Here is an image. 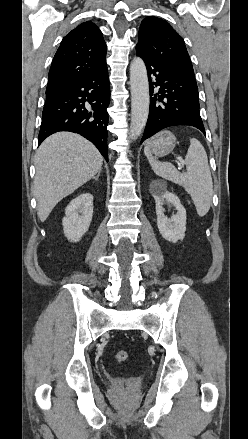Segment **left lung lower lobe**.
<instances>
[{
	"label": "left lung lower lobe",
	"mask_w": 248,
	"mask_h": 439,
	"mask_svg": "<svg viewBox=\"0 0 248 439\" xmlns=\"http://www.w3.org/2000/svg\"><path fill=\"white\" fill-rule=\"evenodd\" d=\"M136 54L145 62L151 96L141 143L160 130L177 125L194 126L205 134L195 77L151 59L137 48Z\"/></svg>",
	"instance_id": "0a47b994"
}]
</instances>
